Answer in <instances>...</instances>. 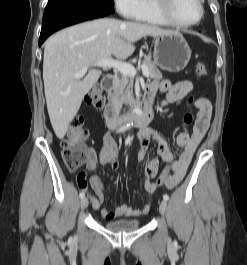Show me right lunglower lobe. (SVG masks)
Here are the masks:
<instances>
[{
  "mask_svg": "<svg viewBox=\"0 0 247 265\" xmlns=\"http://www.w3.org/2000/svg\"><path fill=\"white\" fill-rule=\"evenodd\" d=\"M114 12L112 5L99 0H49L43 15L39 46L52 33Z\"/></svg>",
  "mask_w": 247,
  "mask_h": 265,
  "instance_id": "98d812e1",
  "label": "right lung lower lobe"
}]
</instances>
